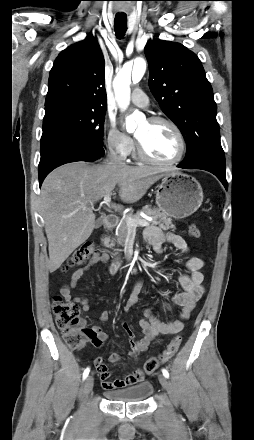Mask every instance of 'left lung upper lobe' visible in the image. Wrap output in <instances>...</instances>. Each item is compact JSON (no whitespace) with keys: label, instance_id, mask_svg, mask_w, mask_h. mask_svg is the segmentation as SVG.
<instances>
[{"label":"left lung upper lobe","instance_id":"left-lung-upper-lobe-1","mask_svg":"<svg viewBox=\"0 0 254 440\" xmlns=\"http://www.w3.org/2000/svg\"><path fill=\"white\" fill-rule=\"evenodd\" d=\"M144 51L150 90L186 141L183 163L203 158L225 163L213 90L198 56L179 43L162 40L149 41Z\"/></svg>","mask_w":254,"mask_h":440}]
</instances>
